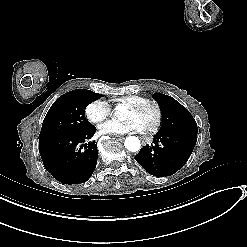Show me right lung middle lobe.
<instances>
[{
  "mask_svg": "<svg viewBox=\"0 0 247 247\" xmlns=\"http://www.w3.org/2000/svg\"><path fill=\"white\" fill-rule=\"evenodd\" d=\"M103 95L87 89H75L60 96L46 114L39 140L53 135L77 134L88 130L85 108Z\"/></svg>",
  "mask_w": 247,
  "mask_h": 247,
  "instance_id": "dd1d6c3e",
  "label": "right lung middle lobe"
}]
</instances>
